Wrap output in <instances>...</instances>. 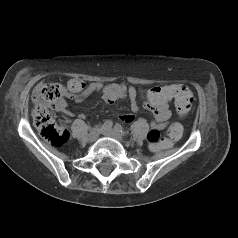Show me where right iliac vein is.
<instances>
[{"label":"right iliac vein","mask_w":238,"mask_h":238,"mask_svg":"<svg viewBox=\"0 0 238 238\" xmlns=\"http://www.w3.org/2000/svg\"><path fill=\"white\" fill-rule=\"evenodd\" d=\"M100 133H101V128L98 127V126H96V127L93 128V129L91 130V132L89 133V135H88V137H87L88 141H89V142H94V141H96L97 138L99 137Z\"/></svg>","instance_id":"obj_1"}]
</instances>
